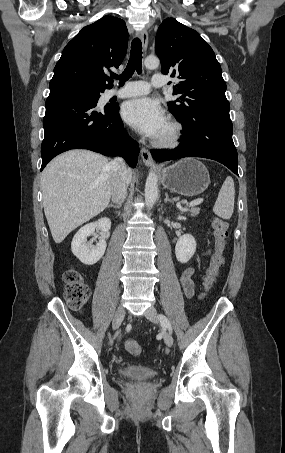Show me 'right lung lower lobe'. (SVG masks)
Wrapping results in <instances>:
<instances>
[{"mask_svg":"<svg viewBox=\"0 0 285 453\" xmlns=\"http://www.w3.org/2000/svg\"><path fill=\"white\" fill-rule=\"evenodd\" d=\"M45 107L41 171L56 155L77 148L122 156L136 166L139 147L126 133L118 105L97 109L81 90L57 88L50 90Z\"/></svg>","mask_w":285,"mask_h":453,"instance_id":"obj_1","label":"right lung lower lobe"}]
</instances>
